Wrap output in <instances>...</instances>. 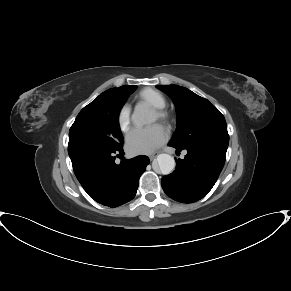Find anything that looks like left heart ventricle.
Wrapping results in <instances>:
<instances>
[{"label":"left heart ventricle","mask_w":291,"mask_h":291,"mask_svg":"<svg viewBox=\"0 0 291 291\" xmlns=\"http://www.w3.org/2000/svg\"><path fill=\"white\" fill-rule=\"evenodd\" d=\"M155 121H157V116H156V114L153 112V113H152V116H151V120H150V122L153 123V122H155Z\"/></svg>","instance_id":"obj_1"}]
</instances>
